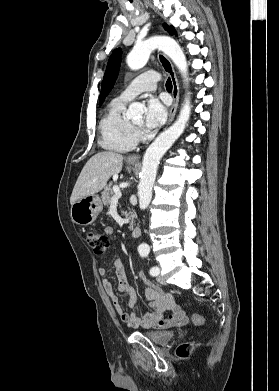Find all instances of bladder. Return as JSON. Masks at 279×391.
<instances>
[{
    "instance_id": "obj_1",
    "label": "bladder",
    "mask_w": 279,
    "mask_h": 391,
    "mask_svg": "<svg viewBox=\"0 0 279 391\" xmlns=\"http://www.w3.org/2000/svg\"><path fill=\"white\" fill-rule=\"evenodd\" d=\"M145 335L155 344L165 345L168 344L175 336L174 331H150L146 332Z\"/></svg>"
}]
</instances>
